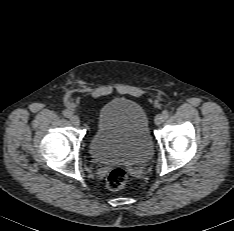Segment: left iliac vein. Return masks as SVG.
I'll return each mask as SVG.
<instances>
[{
	"label": "left iliac vein",
	"mask_w": 234,
	"mask_h": 231,
	"mask_svg": "<svg viewBox=\"0 0 234 231\" xmlns=\"http://www.w3.org/2000/svg\"><path fill=\"white\" fill-rule=\"evenodd\" d=\"M154 121L156 125H160L164 121L162 114L156 115Z\"/></svg>",
	"instance_id": "1"
}]
</instances>
